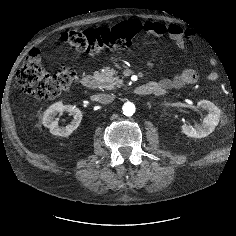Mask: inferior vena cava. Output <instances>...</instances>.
Wrapping results in <instances>:
<instances>
[{"label": "inferior vena cava", "instance_id": "inferior-vena-cava-1", "mask_svg": "<svg viewBox=\"0 0 236 236\" xmlns=\"http://www.w3.org/2000/svg\"><path fill=\"white\" fill-rule=\"evenodd\" d=\"M98 100L102 104H109V103L113 102L114 96L112 94L104 93V94L98 95Z\"/></svg>", "mask_w": 236, "mask_h": 236}]
</instances>
